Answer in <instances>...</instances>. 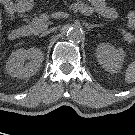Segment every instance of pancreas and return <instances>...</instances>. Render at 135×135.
<instances>
[{
  "label": "pancreas",
  "mask_w": 135,
  "mask_h": 135,
  "mask_svg": "<svg viewBox=\"0 0 135 135\" xmlns=\"http://www.w3.org/2000/svg\"><path fill=\"white\" fill-rule=\"evenodd\" d=\"M48 15L47 14H42L39 17H34L30 24L26 26V29L29 30L30 33L37 34L43 30H45L48 26ZM122 34H123V39L124 41L128 43H132L133 37L130 33H126L124 29H120Z\"/></svg>",
  "instance_id": "pancreas-1"
}]
</instances>
